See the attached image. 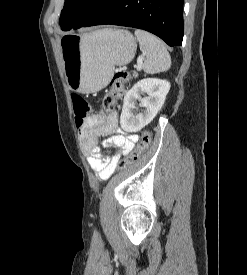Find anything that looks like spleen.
<instances>
[{
	"instance_id": "3e777b00",
	"label": "spleen",
	"mask_w": 247,
	"mask_h": 275,
	"mask_svg": "<svg viewBox=\"0 0 247 275\" xmlns=\"http://www.w3.org/2000/svg\"><path fill=\"white\" fill-rule=\"evenodd\" d=\"M140 50L146 56L143 70L148 74L166 71L171 66V58L165 44L155 35L140 29L135 30Z\"/></svg>"
}]
</instances>
